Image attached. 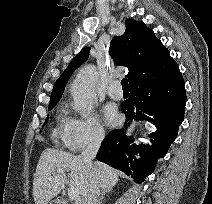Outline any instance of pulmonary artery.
Returning a JSON list of instances; mask_svg holds the SVG:
<instances>
[{
    "instance_id": "obj_1",
    "label": "pulmonary artery",
    "mask_w": 212,
    "mask_h": 204,
    "mask_svg": "<svg viewBox=\"0 0 212 204\" xmlns=\"http://www.w3.org/2000/svg\"><path fill=\"white\" fill-rule=\"evenodd\" d=\"M107 94L115 100H120L123 96L119 81H113L107 88Z\"/></svg>"
}]
</instances>
